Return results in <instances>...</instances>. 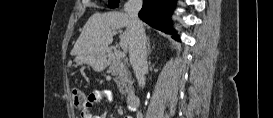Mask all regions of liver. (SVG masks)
Segmentation results:
<instances>
[{"label":"liver","mask_w":273,"mask_h":118,"mask_svg":"<svg viewBox=\"0 0 273 118\" xmlns=\"http://www.w3.org/2000/svg\"><path fill=\"white\" fill-rule=\"evenodd\" d=\"M126 28L120 35V46L127 51L131 41L130 18L124 12L94 13L84 25L71 55L103 53L113 41L114 32Z\"/></svg>","instance_id":"1"}]
</instances>
